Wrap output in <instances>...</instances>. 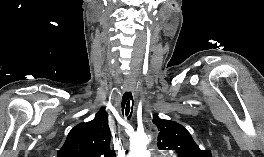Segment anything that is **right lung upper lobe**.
<instances>
[{
  "mask_svg": "<svg viewBox=\"0 0 264 157\" xmlns=\"http://www.w3.org/2000/svg\"><path fill=\"white\" fill-rule=\"evenodd\" d=\"M110 137L107 114L101 110L92 121L72 128L57 157H115Z\"/></svg>",
  "mask_w": 264,
  "mask_h": 157,
  "instance_id": "cb5924a9",
  "label": "right lung upper lobe"
}]
</instances>
